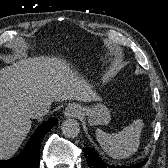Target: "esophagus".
Listing matches in <instances>:
<instances>
[{"label":"esophagus","mask_w":168,"mask_h":168,"mask_svg":"<svg viewBox=\"0 0 168 168\" xmlns=\"http://www.w3.org/2000/svg\"><path fill=\"white\" fill-rule=\"evenodd\" d=\"M82 113V108L78 104H70L64 110V115L67 118H76L79 117Z\"/></svg>","instance_id":"obj_1"}]
</instances>
